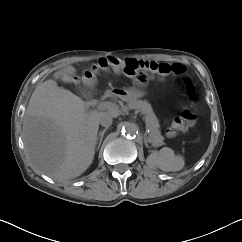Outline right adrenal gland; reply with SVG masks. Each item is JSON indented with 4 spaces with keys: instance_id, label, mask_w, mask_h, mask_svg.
<instances>
[{
    "instance_id": "2a0ac1e0",
    "label": "right adrenal gland",
    "mask_w": 242,
    "mask_h": 242,
    "mask_svg": "<svg viewBox=\"0 0 242 242\" xmlns=\"http://www.w3.org/2000/svg\"><path fill=\"white\" fill-rule=\"evenodd\" d=\"M108 130V128H105L103 131H100L97 138H96V143H98V149L100 148V145L102 143L104 133Z\"/></svg>"
}]
</instances>
